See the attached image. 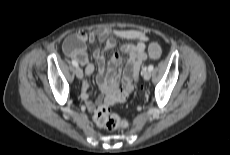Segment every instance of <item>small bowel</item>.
<instances>
[{
  "mask_svg": "<svg viewBox=\"0 0 230 155\" xmlns=\"http://www.w3.org/2000/svg\"><path fill=\"white\" fill-rule=\"evenodd\" d=\"M129 41L121 46V50L129 55L128 61L113 54L106 68L104 51L114 49L116 40ZM77 41L78 44H74ZM100 41L104 49H97L93 56L98 65L97 82L103 93V102L113 105L124 102L133 91L134 82L138 76L141 64L147 57L146 33L137 29L110 30L106 28L95 29L90 32H78L69 36L64 42V52L67 57L85 66V73L91 76L95 70L94 65L88 62V55L84 43ZM81 97L89 111H93L98 103L92 102L90 85L85 81L82 85Z\"/></svg>",
  "mask_w": 230,
  "mask_h": 155,
  "instance_id": "1",
  "label": "small bowel"
}]
</instances>
